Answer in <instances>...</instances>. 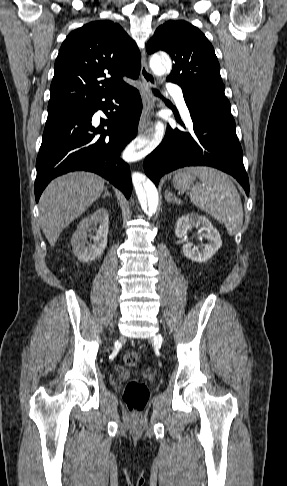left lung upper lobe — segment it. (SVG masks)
Listing matches in <instances>:
<instances>
[{"label": "left lung upper lobe", "mask_w": 287, "mask_h": 486, "mask_svg": "<svg viewBox=\"0 0 287 486\" xmlns=\"http://www.w3.org/2000/svg\"><path fill=\"white\" fill-rule=\"evenodd\" d=\"M154 37L147 44V52L166 51L174 60L167 80L178 84L209 114L235 122L224 94L219 62L205 35L186 21L170 20L157 28Z\"/></svg>", "instance_id": "5c2ea615"}]
</instances>
